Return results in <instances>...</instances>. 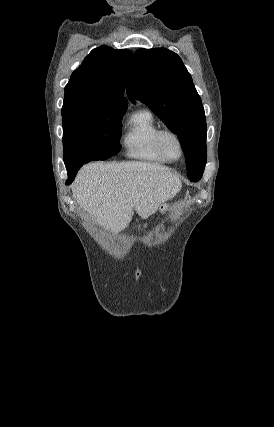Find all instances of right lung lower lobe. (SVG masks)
<instances>
[{"label": "right lung lower lobe", "mask_w": 274, "mask_h": 427, "mask_svg": "<svg viewBox=\"0 0 274 427\" xmlns=\"http://www.w3.org/2000/svg\"><path fill=\"white\" fill-rule=\"evenodd\" d=\"M83 164H74L70 166H66L67 172H68V181L66 182L67 185H69L75 178L77 171L80 169V167Z\"/></svg>", "instance_id": "obj_1"}]
</instances>
